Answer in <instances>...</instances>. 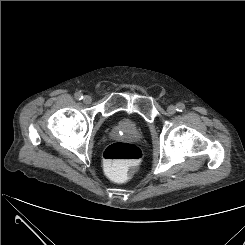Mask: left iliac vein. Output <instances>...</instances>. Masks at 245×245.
I'll list each match as a JSON object with an SVG mask.
<instances>
[{
    "label": "left iliac vein",
    "mask_w": 245,
    "mask_h": 245,
    "mask_svg": "<svg viewBox=\"0 0 245 245\" xmlns=\"http://www.w3.org/2000/svg\"><path fill=\"white\" fill-rule=\"evenodd\" d=\"M167 112L169 113V114H175L176 113V107L174 106V105H170V106H168V108H167Z\"/></svg>",
    "instance_id": "left-iliac-vein-1"
}]
</instances>
